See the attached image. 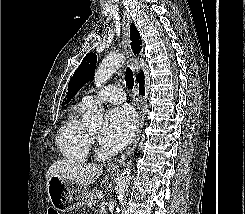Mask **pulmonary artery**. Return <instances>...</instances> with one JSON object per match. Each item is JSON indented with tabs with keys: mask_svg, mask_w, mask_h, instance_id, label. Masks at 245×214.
I'll use <instances>...</instances> for the list:
<instances>
[{
	"mask_svg": "<svg viewBox=\"0 0 245 214\" xmlns=\"http://www.w3.org/2000/svg\"><path fill=\"white\" fill-rule=\"evenodd\" d=\"M124 91L114 85H108L104 88L98 90L95 93L85 95L82 98V103L86 106L92 104L93 102H111V103H121L125 100Z\"/></svg>",
	"mask_w": 245,
	"mask_h": 214,
	"instance_id": "pulmonary-artery-1",
	"label": "pulmonary artery"
}]
</instances>
